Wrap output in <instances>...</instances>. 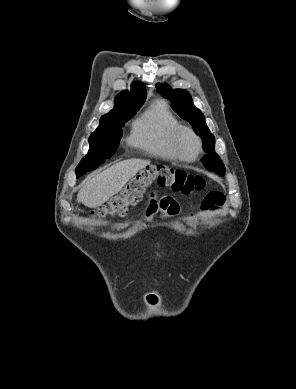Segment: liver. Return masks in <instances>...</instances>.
Instances as JSON below:
<instances>
[{
	"label": "liver",
	"mask_w": 296,
	"mask_h": 389,
	"mask_svg": "<svg viewBox=\"0 0 296 389\" xmlns=\"http://www.w3.org/2000/svg\"><path fill=\"white\" fill-rule=\"evenodd\" d=\"M149 164L148 160L128 159L112 165L86 181L78 192L77 201L89 208L101 206Z\"/></svg>",
	"instance_id": "liver-1"
}]
</instances>
